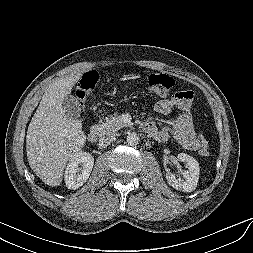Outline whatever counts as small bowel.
I'll use <instances>...</instances> for the list:
<instances>
[{
	"mask_svg": "<svg viewBox=\"0 0 253 253\" xmlns=\"http://www.w3.org/2000/svg\"><path fill=\"white\" fill-rule=\"evenodd\" d=\"M175 107L179 108V114L170 124L158 128L151 120L145 124L146 132L159 142H166L170 135L185 148L196 151L198 137L194 130L190 114V103L178 101L175 97L158 101L155 111L162 115L169 114Z\"/></svg>",
	"mask_w": 253,
	"mask_h": 253,
	"instance_id": "c3829d8e",
	"label": "small bowel"
}]
</instances>
